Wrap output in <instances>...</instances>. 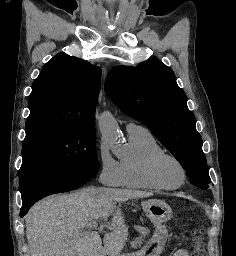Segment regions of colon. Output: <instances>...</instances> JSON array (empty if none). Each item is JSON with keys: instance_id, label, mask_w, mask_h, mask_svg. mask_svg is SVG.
<instances>
[{"instance_id": "5ec220e1", "label": "colon", "mask_w": 236, "mask_h": 256, "mask_svg": "<svg viewBox=\"0 0 236 256\" xmlns=\"http://www.w3.org/2000/svg\"><path fill=\"white\" fill-rule=\"evenodd\" d=\"M191 256H205L204 249L202 248L199 239H197L196 242L193 244V251L191 253Z\"/></svg>"}]
</instances>
